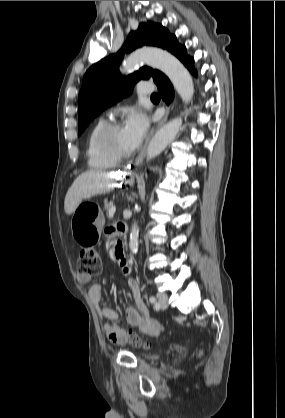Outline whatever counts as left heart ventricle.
Segmentation results:
<instances>
[{"label": "left heart ventricle", "instance_id": "obj_1", "mask_svg": "<svg viewBox=\"0 0 285 418\" xmlns=\"http://www.w3.org/2000/svg\"><path fill=\"white\" fill-rule=\"evenodd\" d=\"M112 146L119 152H126L133 148L130 138L124 127L114 132L111 139Z\"/></svg>", "mask_w": 285, "mask_h": 418}]
</instances>
